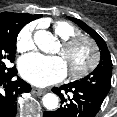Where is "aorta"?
Returning a JSON list of instances; mask_svg holds the SVG:
<instances>
[{"label": "aorta", "mask_w": 117, "mask_h": 117, "mask_svg": "<svg viewBox=\"0 0 117 117\" xmlns=\"http://www.w3.org/2000/svg\"><path fill=\"white\" fill-rule=\"evenodd\" d=\"M34 41L38 48L46 53L51 52L56 46L54 36L45 30H38L34 34ZM43 105L48 110H54L58 107L59 99L54 93H47L42 98Z\"/></svg>", "instance_id": "762f6f07"}]
</instances>
